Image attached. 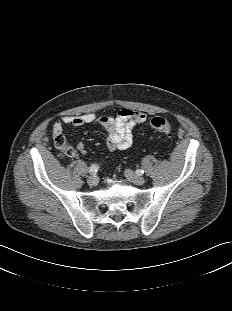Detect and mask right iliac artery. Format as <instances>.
<instances>
[{
    "label": "right iliac artery",
    "mask_w": 232,
    "mask_h": 311,
    "mask_svg": "<svg viewBox=\"0 0 232 311\" xmlns=\"http://www.w3.org/2000/svg\"><path fill=\"white\" fill-rule=\"evenodd\" d=\"M98 165L97 164H93L90 168H89V173L93 174L96 173L98 171Z\"/></svg>",
    "instance_id": "82829eb1"
}]
</instances>
